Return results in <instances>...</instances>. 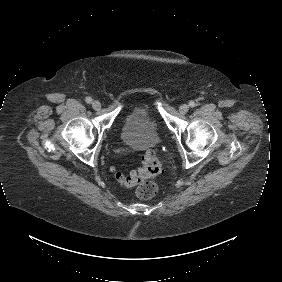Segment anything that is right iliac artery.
I'll return each mask as SVG.
<instances>
[{
    "instance_id": "82829eb1",
    "label": "right iliac artery",
    "mask_w": 282,
    "mask_h": 282,
    "mask_svg": "<svg viewBox=\"0 0 282 282\" xmlns=\"http://www.w3.org/2000/svg\"><path fill=\"white\" fill-rule=\"evenodd\" d=\"M88 104H90L92 102V98L91 97H87L85 100Z\"/></svg>"
}]
</instances>
